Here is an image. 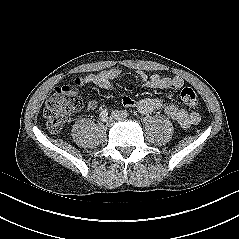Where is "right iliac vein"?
<instances>
[{"label": "right iliac vein", "instance_id": "right-iliac-vein-1", "mask_svg": "<svg viewBox=\"0 0 239 239\" xmlns=\"http://www.w3.org/2000/svg\"><path fill=\"white\" fill-rule=\"evenodd\" d=\"M114 124V119L113 118H109L106 120V125L108 127H111Z\"/></svg>", "mask_w": 239, "mask_h": 239}]
</instances>
